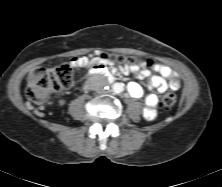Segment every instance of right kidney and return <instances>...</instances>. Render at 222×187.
<instances>
[{"mask_svg":"<svg viewBox=\"0 0 222 187\" xmlns=\"http://www.w3.org/2000/svg\"><path fill=\"white\" fill-rule=\"evenodd\" d=\"M64 104H65V100H63V99H62V100H59V105H60V106H62V105H64Z\"/></svg>","mask_w":222,"mask_h":187,"instance_id":"1","label":"right kidney"}]
</instances>
